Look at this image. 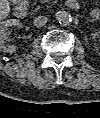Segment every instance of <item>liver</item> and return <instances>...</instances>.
I'll use <instances>...</instances> for the list:
<instances>
[{
  "mask_svg": "<svg viewBox=\"0 0 100 118\" xmlns=\"http://www.w3.org/2000/svg\"><path fill=\"white\" fill-rule=\"evenodd\" d=\"M1 15L6 17L10 11L9 3L7 0L0 1Z\"/></svg>",
  "mask_w": 100,
  "mask_h": 118,
  "instance_id": "obj_1",
  "label": "liver"
}]
</instances>
